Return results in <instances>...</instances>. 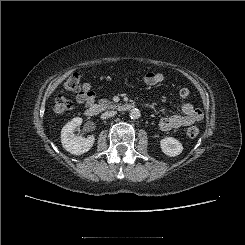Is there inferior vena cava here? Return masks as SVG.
<instances>
[{"mask_svg": "<svg viewBox=\"0 0 245 245\" xmlns=\"http://www.w3.org/2000/svg\"><path fill=\"white\" fill-rule=\"evenodd\" d=\"M116 111L112 110V111H106L104 113L101 114V119H107L109 117H112L114 115H116Z\"/></svg>", "mask_w": 245, "mask_h": 245, "instance_id": "1", "label": "inferior vena cava"}]
</instances>
